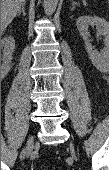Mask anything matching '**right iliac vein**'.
Masks as SVG:
<instances>
[{
  "mask_svg": "<svg viewBox=\"0 0 109 170\" xmlns=\"http://www.w3.org/2000/svg\"><path fill=\"white\" fill-rule=\"evenodd\" d=\"M34 138L33 136H29L28 141H27V145H26V156L29 157L34 149Z\"/></svg>",
  "mask_w": 109,
  "mask_h": 170,
  "instance_id": "63e3f726",
  "label": "right iliac vein"
}]
</instances>
